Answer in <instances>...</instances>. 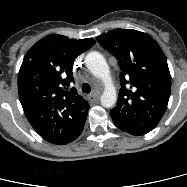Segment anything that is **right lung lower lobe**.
<instances>
[{"label": "right lung lower lobe", "mask_w": 187, "mask_h": 187, "mask_svg": "<svg viewBox=\"0 0 187 187\" xmlns=\"http://www.w3.org/2000/svg\"><path fill=\"white\" fill-rule=\"evenodd\" d=\"M82 130H83V129H82ZM82 130L80 131V133H79L73 140H75V139L81 134ZM73 140H72V141H73ZM72 141H71V142H72Z\"/></svg>", "instance_id": "obj_1"}]
</instances>
